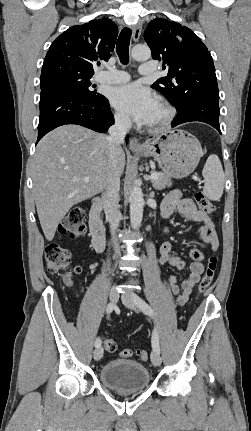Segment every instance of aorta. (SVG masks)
Listing matches in <instances>:
<instances>
[{"label":"aorta","mask_w":251,"mask_h":431,"mask_svg":"<svg viewBox=\"0 0 251 431\" xmlns=\"http://www.w3.org/2000/svg\"><path fill=\"white\" fill-rule=\"evenodd\" d=\"M132 58L137 61L148 60L151 57V51L148 46L137 45L131 51ZM130 224L133 229L139 228L143 218L144 198L142 189L139 185L134 184L130 196Z\"/></svg>","instance_id":"1"}]
</instances>
